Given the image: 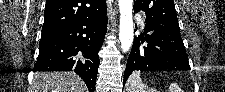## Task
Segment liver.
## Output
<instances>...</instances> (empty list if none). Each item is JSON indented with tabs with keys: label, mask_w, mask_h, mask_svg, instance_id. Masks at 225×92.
Instances as JSON below:
<instances>
[{
	"label": "liver",
	"mask_w": 225,
	"mask_h": 92,
	"mask_svg": "<svg viewBox=\"0 0 225 92\" xmlns=\"http://www.w3.org/2000/svg\"><path fill=\"white\" fill-rule=\"evenodd\" d=\"M31 92H87V88L73 72H37Z\"/></svg>",
	"instance_id": "liver-1"
}]
</instances>
